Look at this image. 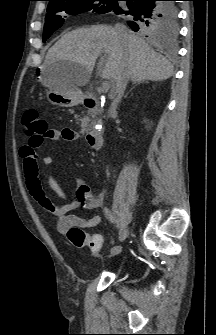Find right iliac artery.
Instances as JSON below:
<instances>
[{
	"label": "right iliac artery",
	"mask_w": 216,
	"mask_h": 335,
	"mask_svg": "<svg viewBox=\"0 0 216 335\" xmlns=\"http://www.w3.org/2000/svg\"><path fill=\"white\" fill-rule=\"evenodd\" d=\"M104 214L111 223H114V224L117 223V220L114 214L107 207L104 208ZM121 249H122L121 246H114L111 248L110 253L113 256L118 255L121 252Z\"/></svg>",
	"instance_id": "obj_1"
}]
</instances>
